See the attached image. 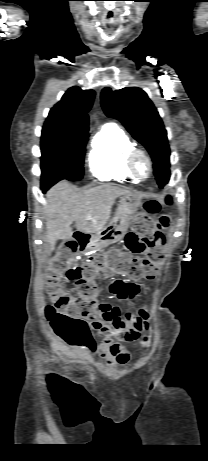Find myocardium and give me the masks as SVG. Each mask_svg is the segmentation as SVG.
<instances>
[{
  "instance_id": "obj_1",
  "label": "myocardium",
  "mask_w": 208,
  "mask_h": 461,
  "mask_svg": "<svg viewBox=\"0 0 208 461\" xmlns=\"http://www.w3.org/2000/svg\"><path fill=\"white\" fill-rule=\"evenodd\" d=\"M143 160L146 164L145 171L138 167V161ZM127 166L130 172L139 180H145L152 174L153 163L149 154L142 148L133 147L127 158Z\"/></svg>"
}]
</instances>
